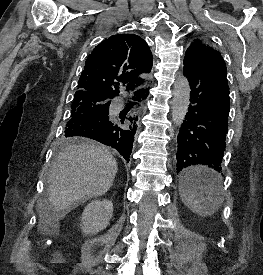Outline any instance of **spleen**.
I'll return each mask as SVG.
<instances>
[{"label": "spleen", "instance_id": "1", "mask_svg": "<svg viewBox=\"0 0 263 275\" xmlns=\"http://www.w3.org/2000/svg\"><path fill=\"white\" fill-rule=\"evenodd\" d=\"M221 188L222 177L220 174L216 175L215 185L211 190H204L200 187L186 184L181 188V200L190 208L194 213L198 215H206L208 212L209 202L214 204H220L221 202ZM204 194L210 195L209 198H205Z\"/></svg>", "mask_w": 263, "mask_h": 275}]
</instances>
